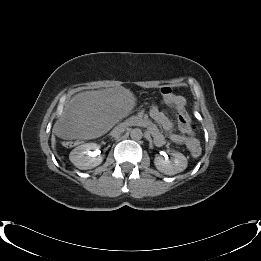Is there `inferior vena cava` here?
<instances>
[{"label":"inferior vena cava","mask_w":261,"mask_h":261,"mask_svg":"<svg viewBox=\"0 0 261 261\" xmlns=\"http://www.w3.org/2000/svg\"><path fill=\"white\" fill-rule=\"evenodd\" d=\"M123 131H124V128H122V129L119 131V133H120V132H123Z\"/></svg>","instance_id":"1"}]
</instances>
